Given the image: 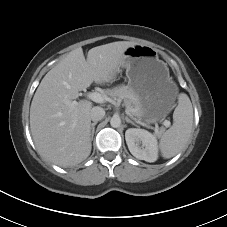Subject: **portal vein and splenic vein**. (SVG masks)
<instances>
[{
    "label": "portal vein and splenic vein",
    "instance_id": "1",
    "mask_svg": "<svg viewBox=\"0 0 227 227\" xmlns=\"http://www.w3.org/2000/svg\"><path fill=\"white\" fill-rule=\"evenodd\" d=\"M88 98L96 103H104L105 101H107V98L105 96H103L102 94L98 93V92H92V93H89L88 94ZM67 104L71 105V106H75L77 104L76 101H73V102H69L67 101ZM126 113L129 115V116H132L131 113H129V111H126ZM163 125L165 127H170L171 123L170 121L168 120H164L163 121ZM155 133L156 134H159V130L158 128H155Z\"/></svg>",
    "mask_w": 227,
    "mask_h": 227
}]
</instances>
